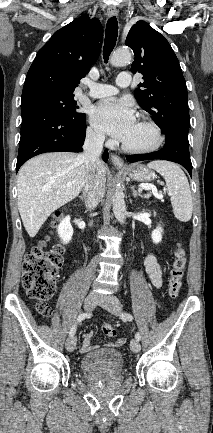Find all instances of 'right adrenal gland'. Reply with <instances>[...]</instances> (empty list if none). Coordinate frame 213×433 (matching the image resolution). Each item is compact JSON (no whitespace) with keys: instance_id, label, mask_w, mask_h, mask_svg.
<instances>
[{"instance_id":"right-adrenal-gland-1","label":"right adrenal gland","mask_w":213,"mask_h":433,"mask_svg":"<svg viewBox=\"0 0 213 433\" xmlns=\"http://www.w3.org/2000/svg\"><path fill=\"white\" fill-rule=\"evenodd\" d=\"M79 198L82 200V201H84V198H83V196H79Z\"/></svg>"}]
</instances>
